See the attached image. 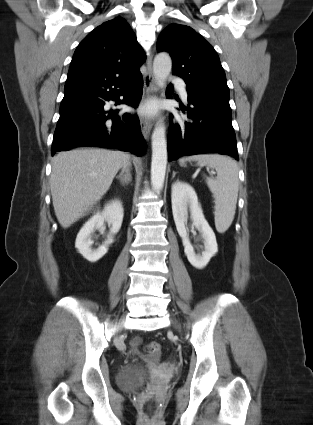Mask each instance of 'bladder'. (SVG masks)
<instances>
[{"mask_svg":"<svg viewBox=\"0 0 313 425\" xmlns=\"http://www.w3.org/2000/svg\"><path fill=\"white\" fill-rule=\"evenodd\" d=\"M148 378L145 367L131 364L122 368L117 375V384L123 389H134L143 384Z\"/></svg>","mask_w":313,"mask_h":425,"instance_id":"31cf9c89","label":"bladder"}]
</instances>
